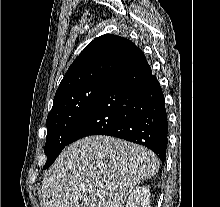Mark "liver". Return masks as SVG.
<instances>
[{
	"instance_id": "1",
	"label": "liver",
	"mask_w": 220,
	"mask_h": 207,
	"mask_svg": "<svg viewBox=\"0 0 220 207\" xmlns=\"http://www.w3.org/2000/svg\"><path fill=\"white\" fill-rule=\"evenodd\" d=\"M158 170L159 159L143 146L110 136L85 137L66 147L47 171L44 207H123L134 187Z\"/></svg>"
}]
</instances>
